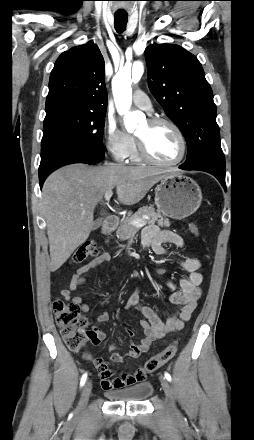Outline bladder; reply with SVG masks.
Wrapping results in <instances>:
<instances>
[{"label":"bladder","mask_w":254,"mask_h":440,"mask_svg":"<svg viewBox=\"0 0 254 440\" xmlns=\"http://www.w3.org/2000/svg\"><path fill=\"white\" fill-rule=\"evenodd\" d=\"M153 392V386L150 382H140L131 387L119 390L107 391L108 398L123 402H139L148 398Z\"/></svg>","instance_id":"31cf9c89"}]
</instances>
